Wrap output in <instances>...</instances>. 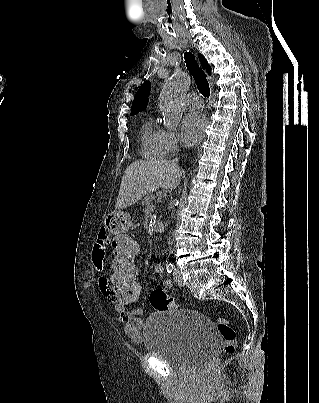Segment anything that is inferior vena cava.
I'll list each match as a JSON object with an SVG mask.
<instances>
[{
    "mask_svg": "<svg viewBox=\"0 0 319 403\" xmlns=\"http://www.w3.org/2000/svg\"><path fill=\"white\" fill-rule=\"evenodd\" d=\"M177 162H178V159H175V160H173L171 163H172L174 166L178 167ZM169 244H170V242H169Z\"/></svg>",
    "mask_w": 319,
    "mask_h": 403,
    "instance_id": "obj_1",
    "label": "inferior vena cava"
}]
</instances>
